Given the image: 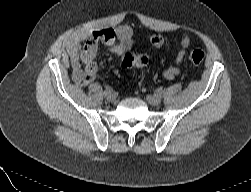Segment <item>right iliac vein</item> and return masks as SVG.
I'll return each mask as SVG.
<instances>
[{"label": "right iliac vein", "mask_w": 251, "mask_h": 192, "mask_svg": "<svg viewBox=\"0 0 251 192\" xmlns=\"http://www.w3.org/2000/svg\"><path fill=\"white\" fill-rule=\"evenodd\" d=\"M107 100L110 102H115L116 101V95L114 93H110L107 96Z\"/></svg>", "instance_id": "right-iliac-vein-1"}]
</instances>
